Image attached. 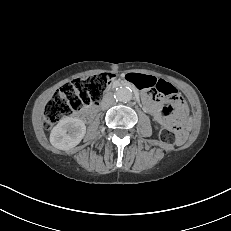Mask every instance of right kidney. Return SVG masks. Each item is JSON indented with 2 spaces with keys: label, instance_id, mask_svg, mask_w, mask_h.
<instances>
[{
  "label": "right kidney",
  "instance_id": "obj_1",
  "mask_svg": "<svg viewBox=\"0 0 231 231\" xmlns=\"http://www.w3.org/2000/svg\"><path fill=\"white\" fill-rule=\"evenodd\" d=\"M86 133V126L80 119L66 117L52 129L51 144L60 150H67L78 145Z\"/></svg>",
  "mask_w": 231,
  "mask_h": 231
}]
</instances>
